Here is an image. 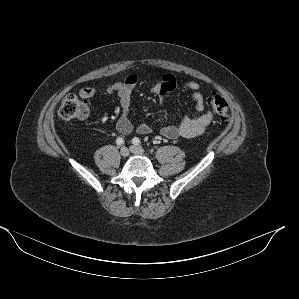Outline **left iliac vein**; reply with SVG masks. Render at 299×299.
<instances>
[{"instance_id":"obj_1","label":"left iliac vein","mask_w":299,"mask_h":299,"mask_svg":"<svg viewBox=\"0 0 299 299\" xmlns=\"http://www.w3.org/2000/svg\"><path fill=\"white\" fill-rule=\"evenodd\" d=\"M130 151H131L132 153H134V154H144V153H145V151H144V149H143L142 147H140V146H135V145H132V146L130 147Z\"/></svg>"}]
</instances>
